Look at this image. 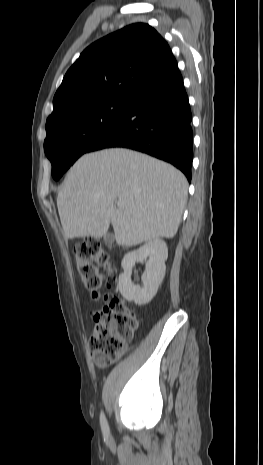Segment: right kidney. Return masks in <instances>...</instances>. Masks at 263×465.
Instances as JSON below:
<instances>
[{
    "instance_id": "right-kidney-1",
    "label": "right kidney",
    "mask_w": 263,
    "mask_h": 465,
    "mask_svg": "<svg viewBox=\"0 0 263 465\" xmlns=\"http://www.w3.org/2000/svg\"><path fill=\"white\" fill-rule=\"evenodd\" d=\"M167 257V245L159 238L150 240L138 250L128 252L121 262L124 270L119 276L118 282L121 295L128 301H134L137 305L150 302L165 276ZM141 261L146 262V270L142 275V287L134 285L131 281L132 268L136 262Z\"/></svg>"
}]
</instances>
